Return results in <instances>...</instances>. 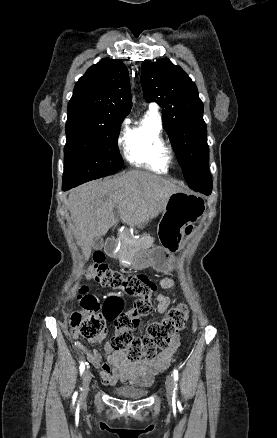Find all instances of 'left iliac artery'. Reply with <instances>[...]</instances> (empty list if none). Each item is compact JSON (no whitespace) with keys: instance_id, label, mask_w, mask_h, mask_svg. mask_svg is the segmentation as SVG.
Segmentation results:
<instances>
[{"instance_id":"44dca946","label":"left iliac artery","mask_w":277,"mask_h":438,"mask_svg":"<svg viewBox=\"0 0 277 438\" xmlns=\"http://www.w3.org/2000/svg\"><path fill=\"white\" fill-rule=\"evenodd\" d=\"M173 377H174V381H175L174 392H176L177 391V380H178V371L176 369H174V371H173Z\"/></svg>"}]
</instances>
